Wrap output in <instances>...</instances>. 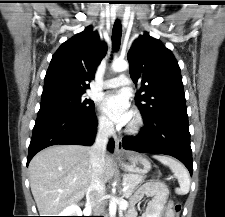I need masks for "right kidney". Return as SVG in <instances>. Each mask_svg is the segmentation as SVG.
<instances>
[{
	"label": "right kidney",
	"mask_w": 225,
	"mask_h": 217,
	"mask_svg": "<svg viewBox=\"0 0 225 217\" xmlns=\"http://www.w3.org/2000/svg\"><path fill=\"white\" fill-rule=\"evenodd\" d=\"M59 216H82V212L77 205H73L63 210Z\"/></svg>",
	"instance_id": "1"
}]
</instances>
